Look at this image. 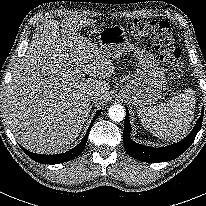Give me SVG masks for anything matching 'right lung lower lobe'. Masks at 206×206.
I'll list each match as a JSON object with an SVG mask.
<instances>
[{"label":"right lung lower lobe","instance_id":"obj_1","mask_svg":"<svg viewBox=\"0 0 206 206\" xmlns=\"http://www.w3.org/2000/svg\"><path fill=\"white\" fill-rule=\"evenodd\" d=\"M101 113V110L98 111L88 130H87V133L85 134L84 138L82 139V141L77 145L75 146L73 149L65 152V153H62V154H55V155H40V154H35V153H32L26 149H24L22 146H20L23 151L33 160L39 162V163H42V164H58V163H63V162H67L75 157H77L80 153H82V151L84 150L85 148V145H86V142H87V139H88V135H89V132H90V129L92 127V124L94 123V121L97 119V117L100 115Z\"/></svg>","mask_w":206,"mask_h":206}]
</instances>
